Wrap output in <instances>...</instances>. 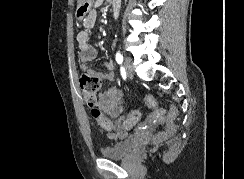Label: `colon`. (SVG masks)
I'll list each match as a JSON object with an SVG mask.
<instances>
[{
	"label": "colon",
	"instance_id": "5ec220e1",
	"mask_svg": "<svg viewBox=\"0 0 244 179\" xmlns=\"http://www.w3.org/2000/svg\"><path fill=\"white\" fill-rule=\"evenodd\" d=\"M80 90L83 94L84 101L88 104L89 110L93 118L100 124V126L106 130L111 131L116 128L117 123L108 119L98 108L94 106L93 102L96 101L97 93L101 87V80L96 75L82 74L79 79ZM145 106L147 109H158L157 101H154V98H151L150 95H147L145 98ZM180 107H171L170 110L166 113V125L165 130L167 133L163 134L164 138H174V133H178V125H173V121L176 120V116L180 115ZM141 111L139 108H129V115L123 120V128L128 130L132 128L133 123L136 120H141Z\"/></svg>",
	"mask_w": 244,
	"mask_h": 179
}]
</instances>
